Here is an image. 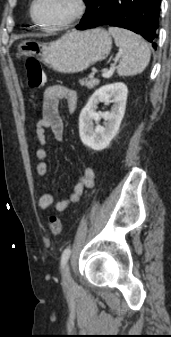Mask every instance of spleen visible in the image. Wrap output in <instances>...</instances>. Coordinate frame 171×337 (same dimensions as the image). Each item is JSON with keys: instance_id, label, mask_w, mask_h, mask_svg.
Segmentation results:
<instances>
[{"instance_id": "1", "label": "spleen", "mask_w": 171, "mask_h": 337, "mask_svg": "<svg viewBox=\"0 0 171 337\" xmlns=\"http://www.w3.org/2000/svg\"><path fill=\"white\" fill-rule=\"evenodd\" d=\"M116 46L120 48L121 59L117 67L119 76H133L142 73L150 61V48L139 35L119 27H109Z\"/></svg>"}]
</instances>
